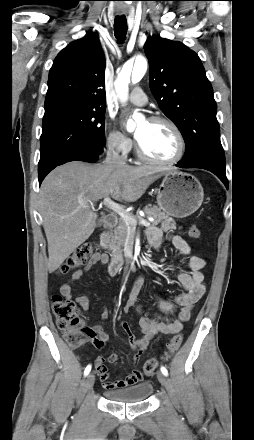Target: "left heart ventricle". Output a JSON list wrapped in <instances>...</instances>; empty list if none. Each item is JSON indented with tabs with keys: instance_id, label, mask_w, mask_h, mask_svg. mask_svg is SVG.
<instances>
[{
	"instance_id": "b2bd125f",
	"label": "left heart ventricle",
	"mask_w": 254,
	"mask_h": 440,
	"mask_svg": "<svg viewBox=\"0 0 254 440\" xmlns=\"http://www.w3.org/2000/svg\"><path fill=\"white\" fill-rule=\"evenodd\" d=\"M137 140L144 152L157 160H170L179 148L174 131L164 123L142 122L137 128Z\"/></svg>"
}]
</instances>
